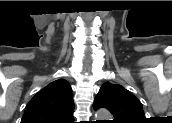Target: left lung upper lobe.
Here are the masks:
<instances>
[{
  "instance_id": "left-lung-upper-lobe-1",
  "label": "left lung upper lobe",
  "mask_w": 172,
  "mask_h": 123,
  "mask_svg": "<svg viewBox=\"0 0 172 123\" xmlns=\"http://www.w3.org/2000/svg\"><path fill=\"white\" fill-rule=\"evenodd\" d=\"M94 109H108L114 116L112 123H143L146 118L141 102L119 84L106 82L95 98Z\"/></svg>"
}]
</instances>
